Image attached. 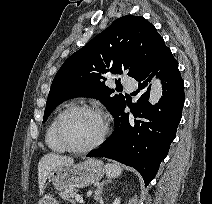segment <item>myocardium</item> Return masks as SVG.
<instances>
[{"label":"myocardium","instance_id":"1","mask_svg":"<svg viewBox=\"0 0 212 204\" xmlns=\"http://www.w3.org/2000/svg\"><path fill=\"white\" fill-rule=\"evenodd\" d=\"M75 111H87L94 113L99 116L102 123V129L101 133L97 137V139L92 142L91 144L85 146V147H74L71 146L65 139L63 132H62V124L64 119L67 115H69L72 112ZM109 132V119L107 114L99 107L87 105V104H78V105H72L66 109H64L58 116L56 124H55V136L59 144L65 149V151L82 154V153H88L96 148H98L106 139Z\"/></svg>","mask_w":212,"mask_h":204}]
</instances>
